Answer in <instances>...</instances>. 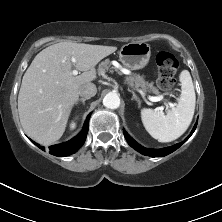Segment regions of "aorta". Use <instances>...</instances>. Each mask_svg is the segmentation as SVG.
I'll return each instance as SVG.
<instances>
[{"mask_svg": "<svg viewBox=\"0 0 222 222\" xmlns=\"http://www.w3.org/2000/svg\"><path fill=\"white\" fill-rule=\"evenodd\" d=\"M103 105L109 109H116L120 106L119 95L115 92H109L103 99Z\"/></svg>", "mask_w": 222, "mask_h": 222, "instance_id": "obj_1", "label": "aorta"}]
</instances>
